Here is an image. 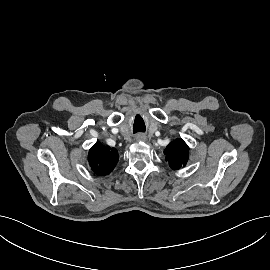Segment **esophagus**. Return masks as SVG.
I'll return each instance as SVG.
<instances>
[{
    "label": "esophagus",
    "mask_w": 270,
    "mask_h": 270,
    "mask_svg": "<svg viewBox=\"0 0 270 270\" xmlns=\"http://www.w3.org/2000/svg\"><path fill=\"white\" fill-rule=\"evenodd\" d=\"M146 136L144 134H139L136 136V140L141 141V140H145Z\"/></svg>",
    "instance_id": "esophagus-1"
}]
</instances>
